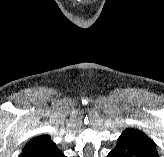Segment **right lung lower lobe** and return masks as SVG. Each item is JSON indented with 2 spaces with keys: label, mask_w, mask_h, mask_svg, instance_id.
Returning a JSON list of instances; mask_svg holds the SVG:
<instances>
[{
  "label": "right lung lower lobe",
  "mask_w": 164,
  "mask_h": 157,
  "mask_svg": "<svg viewBox=\"0 0 164 157\" xmlns=\"http://www.w3.org/2000/svg\"><path fill=\"white\" fill-rule=\"evenodd\" d=\"M21 157H66L56 147V144L51 141L41 142L30 150L21 154Z\"/></svg>",
  "instance_id": "1"
}]
</instances>
